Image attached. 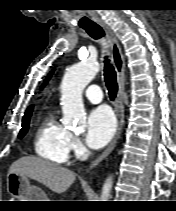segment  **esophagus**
Returning <instances> with one entry per match:
<instances>
[{"label":"esophagus","instance_id":"obj_1","mask_svg":"<svg viewBox=\"0 0 176 211\" xmlns=\"http://www.w3.org/2000/svg\"><path fill=\"white\" fill-rule=\"evenodd\" d=\"M99 25L105 30L110 46H111V55L113 64L115 67V71L117 74V82H118V94H117V107L120 113V121H119V127L117 130V133L110 143V145L105 149V151L92 162L90 165V169H93L96 167L101 161H103L106 157L109 156V154L113 151L115 148L118 139L121 136L123 125H124V106H123V94L125 89V64H124V57L120 48V44L118 39L116 38L115 34L112 32V30L104 23L99 22Z\"/></svg>","mask_w":176,"mask_h":211}]
</instances>
